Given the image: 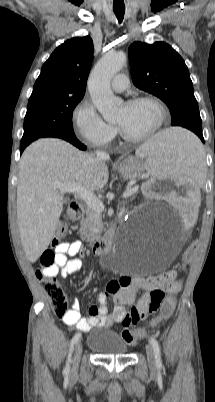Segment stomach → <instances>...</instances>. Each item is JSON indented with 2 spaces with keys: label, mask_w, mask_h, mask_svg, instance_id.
<instances>
[{
  "label": "stomach",
  "mask_w": 215,
  "mask_h": 402,
  "mask_svg": "<svg viewBox=\"0 0 215 402\" xmlns=\"http://www.w3.org/2000/svg\"><path fill=\"white\" fill-rule=\"evenodd\" d=\"M119 174L125 179H135L144 172V166L138 156H128L118 165Z\"/></svg>",
  "instance_id": "1"
}]
</instances>
